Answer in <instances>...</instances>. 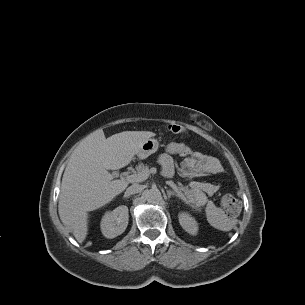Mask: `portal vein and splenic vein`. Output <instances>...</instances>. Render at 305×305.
I'll list each match as a JSON object with an SVG mask.
<instances>
[{"mask_svg":"<svg viewBox=\"0 0 305 305\" xmlns=\"http://www.w3.org/2000/svg\"><path fill=\"white\" fill-rule=\"evenodd\" d=\"M151 173H156V168L146 169L138 174L127 175V180L130 182H142L145 181Z\"/></svg>","mask_w":305,"mask_h":305,"instance_id":"1","label":"portal vein and splenic vein"}]
</instances>
